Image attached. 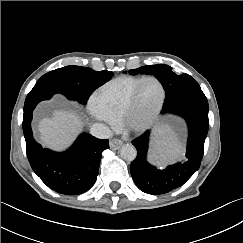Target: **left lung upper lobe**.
<instances>
[{"label":"left lung upper lobe","instance_id":"1","mask_svg":"<svg viewBox=\"0 0 243 243\" xmlns=\"http://www.w3.org/2000/svg\"><path fill=\"white\" fill-rule=\"evenodd\" d=\"M129 73L131 75H136L138 73L154 75L165 89L166 98L164 105L184 94L201 90L199 84L190 75H177L173 72L172 67L165 64L142 66L130 70Z\"/></svg>","mask_w":243,"mask_h":243}]
</instances>
